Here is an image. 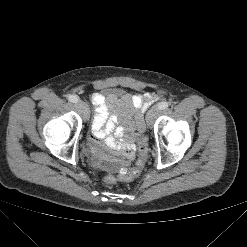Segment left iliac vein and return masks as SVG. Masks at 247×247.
I'll use <instances>...</instances> for the list:
<instances>
[{
  "instance_id": "1",
  "label": "left iliac vein",
  "mask_w": 247,
  "mask_h": 247,
  "mask_svg": "<svg viewBox=\"0 0 247 247\" xmlns=\"http://www.w3.org/2000/svg\"><path fill=\"white\" fill-rule=\"evenodd\" d=\"M159 112L158 106H154L152 109H150L146 115V122L148 125H151L156 117V115Z\"/></svg>"
}]
</instances>
